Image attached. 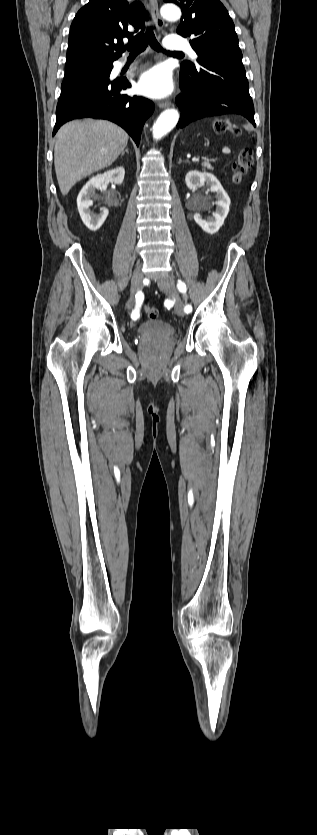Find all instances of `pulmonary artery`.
<instances>
[{
    "label": "pulmonary artery",
    "mask_w": 317,
    "mask_h": 835,
    "mask_svg": "<svg viewBox=\"0 0 317 835\" xmlns=\"http://www.w3.org/2000/svg\"><path fill=\"white\" fill-rule=\"evenodd\" d=\"M164 45H165V47H166L168 50H171V51H173V52H181V51H185V52H187V53H188V54H189V55H190L193 59H196V58L198 57V56H197V53H196V52L192 49V47L190 46V44H189L186 40H184V39L180 38V37H179V36H177V35H169V36H167V37L165 38ZM126 64H127V62H126V61H120V62L118 63V68H121V67L125 66Z\"/></svg>",
    "instance_id": "1"
}]
</instances>
